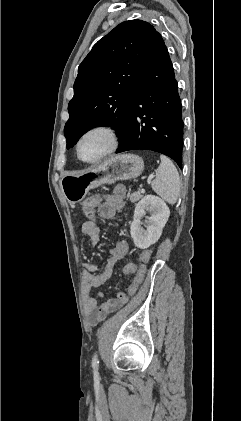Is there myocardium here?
Returning a JSON list of instances; mask_svg holds the SVG:
<instances>
[{
	"label": "myocardium",
	"mask_w": 241,
	"mask_h": 421,
	"mask_svg": "<svg viewBox=\"0 0 241 421\" xmlns=\"http://www.w3.org/2000/svg\"><path fill=\"white\" fill-rule=\"evenodd\" d=\"M93 133L104 134L108 140V144L105 150L97 157L93 159H85L80 154V145L87 136ZM118 145H119V134H118L117 129L110 125L101 124V125H95L86 129L78 138L75 149H76V155L81 161L85 163L94 164V163L100 162L105 157L113 153L118 148Z\"/></svg>",
	"instance_id": "1"
}]
</instances>
